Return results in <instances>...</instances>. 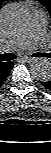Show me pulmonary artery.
Segmentation results:
<instances>
[{
    "label": "pulmonary artery",
    "mask_w": 51,
    "mask_h": 153,
    "mask_svg": "<svg viewBox=\"0 0 51 153\" xmlns=\"http://www.w3.org/2000/svg\"><path fill=\"white\" fill-rule=\"evenodd\" d=\"M46 25V15L44 11H35L28 30L22 36L6 42L2 50H22L27 48L32 42L43 40L46 35Z\"/></svg>",
    "instance_id": "e3ab8cb5"
}]
</instances>
